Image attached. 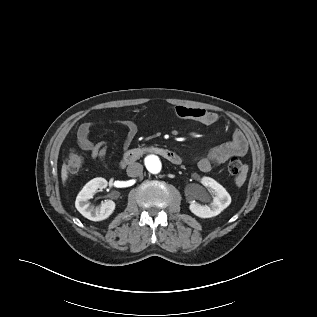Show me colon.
Returning a JSON list of instances; mask_svg holds the SVG:
<instances>
[{"label": "colon", "instance_id": "colon-1", "mask_svg": "<svg viewBox=\"0 0 317 317\" xmlns=\"http://www.w3.org/2000/svg\"><path fill=\"white\" fill-rule=\"evenodd\" d=\"M82 166L83 156L79 152L72 150L66 159V170L68 175H75L80 171ZM226 170L238 180L243 179L247 171L245 164L237 158H231L229 160L226 165Z\"/></svg>", "mask_w": 317, "mask_h": 317}]
</instances>
